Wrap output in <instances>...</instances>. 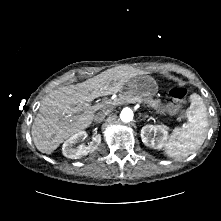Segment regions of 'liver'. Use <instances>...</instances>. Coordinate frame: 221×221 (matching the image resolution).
Wrapping results in <instances>:
<instances>
[{
    "label": "liver",
    "mask_w": 221,
    "mask_h": 221,
    "mask_svg": "<svg viewBox=\"0 0 221 221\" xmlns=\"http://www.w3.org/2000/svg\"><path fill=\"white\" fill-rule=\"evenodd\" d=\"M137 74L133 70L108 69L76 85L51 91L42 100L31 135L36 148L51 154L70 136L90 126L102 105L90 103L100 96L119 92Z\"/></svg>",
    "instance_id": "liver-1"
}]
</instances>
